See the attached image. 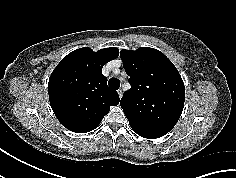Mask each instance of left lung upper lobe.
I'll list each match as a JSON object with an SVG mask.
<instances>
[{"instance_id": "left-lung-upper-lobe-1", "label": "left lung upper lobe", "mask_w": 236, "mask_h": 178, "mask_svg": "<svg viewBox=\"0 0 236 178\" xmlns=\"http://www.w3.org/2000/svg\"><path fill=\"white\" fill-rule=\"evenodd\" d=\"M120 57L131 84L120 105L131 128L145 136L167 134L184 107L185 87L178 70L154 48L122 49Z\"/></svg>"}]
</instances>
